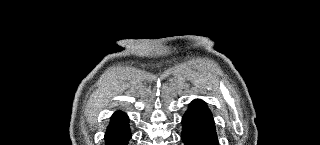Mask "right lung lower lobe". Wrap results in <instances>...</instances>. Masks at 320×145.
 Masks as SVG:
<instances>
[{"label":"right lung lower lobe","instance_id":"98d812e1","mask_svg":"<svg viewBox=\"0 0 320 145\" xmlns=\"http://www.w3.org/2000/svg\"><path fill=\"white\" fill-rule=\"evenodd\" d=\"M129 118L123 112H116L105 134L106 145H126L131 138Z\"/></svg>","mask_w":320,"mask_h":145}]
</instances>
